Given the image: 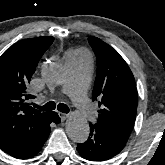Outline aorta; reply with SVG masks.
<instances>
[{
    "instance_id": "1",
    "label": "aorta",
    "mask_w": 165,
    "mask_h": 165,
    "mask_svg": "<svg viewBox=\"0 0 165 165\" xmlns=\"http://www.w3.org/2000/svg\"><path fill=\"white\" fill-rule=\"evenodd\" d=\"M43 79L52 84H59L64 78V68L57 62H47L42 68ZM66 133L76 143H83L89 136V124L85 117L73 114L66 121Z\"/></svg>"
}]
</instances>
